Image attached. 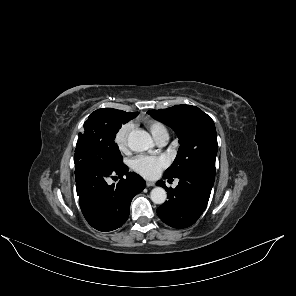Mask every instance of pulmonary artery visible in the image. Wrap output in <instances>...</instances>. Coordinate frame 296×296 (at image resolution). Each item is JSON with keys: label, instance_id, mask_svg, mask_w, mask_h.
Instances as JSON below:
<instances>
[{"label": "pulmonary artery", "instance_id": "obj_1", "mask_svg": "<svg viewBox=\"0 0 296 296\" xmlns=\"http://www.w3.org/2000/svg\"><path fill=\"white\" fill-rule=\"evenodd\" d=\"M167 139H168V135H164L159 139H157L156 142L158 145L163 146L166 143Z\"/></svg>", "mask_w": 296, "mask_h": 296}]
</instances>
